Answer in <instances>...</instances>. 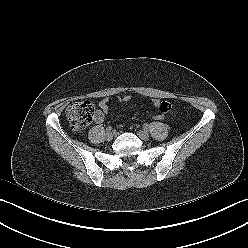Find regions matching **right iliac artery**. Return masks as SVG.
Here are the masks:
<instances>
[{"label":"right iliac artery","mask_w":248,"mask_h":248,"mask_svg":"<svg viewBox=\"0 0 248 248\" xmlns=\"http://www.w3.org/2000/svg\"><path fill=\"white\" fill-rule=\"evenodd\" d=\"M112 130V127L111 126H108L107 128H106V131L107 132H109V131H111Z\"/></svg>","instance_id":"82829eb1"}]
</instances>
